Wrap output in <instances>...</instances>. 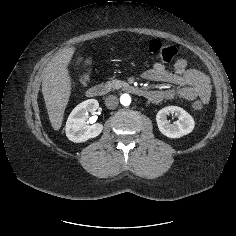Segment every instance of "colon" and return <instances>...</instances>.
<instances>
[{
	"instance_id": "obj_1",
	"label": "colon",
	"mask_w": 236,
	"mask_h": 236,
	"mask_svg": "<svg viewBox=\"0 0 236 236\" xmlns=\"http://www.w3.org/2000/svg\"><path fill=\"white\" fill-rule=\"evenodd\" d=\"M146 47L152 55L165 62H170L177 56V49L174 46L163 44L161 41L156 39L147 41ZM77 63L80 67V72L75 82L78 85H84L91 77L93 62L91 58L82 56L78 58ZM203 105L204 104L200 100H197L193 103V109L195 111H200L202 110Z\"/></svg>"
}]
</instances>
